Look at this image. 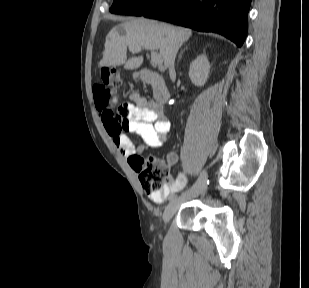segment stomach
Masks as SVG:
<instances>
[{
    "label": "stomach",
    "mask_w": 309,
    "mask_h": 288,
    "mask_svg": "<svg viewBox=\"0 0 309 288\" xmlns=\"http://www.w3.org/2000/svg\"><path fill=\"white\" fill-rule=\"evenodd\" d=\"M137 77V74H134V78H136Z\"/></svg>",
    "instance_id": "obj_1"
}]
</instances>
